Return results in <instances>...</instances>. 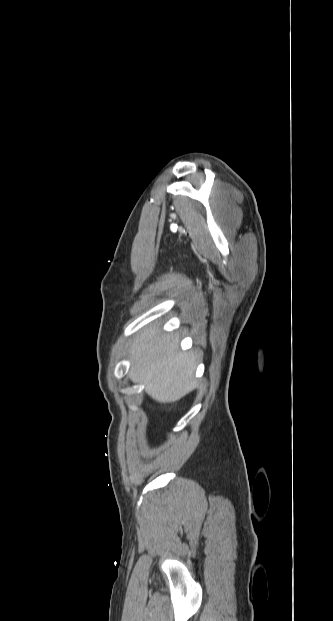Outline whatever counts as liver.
Returning a JSON list of instances; mask_svg holds the SVG:
<instances>
[{"label": "liver", "mask_w": 333, "mask_h": 621, "mask_svg": "<svg viewBox=\"0 0 333 621\" xmlns=\"http://www.w3.org/2000/svg\"><path fill=\"white\" fill-rule=\"evenodd\" d=\"M130 378L160 402H175L190 392L198 356L182 352L176 334H163L156 325L143 329L129 350Z\"/></svg>", "instance_id": "6515ba94"}]
</instances>
